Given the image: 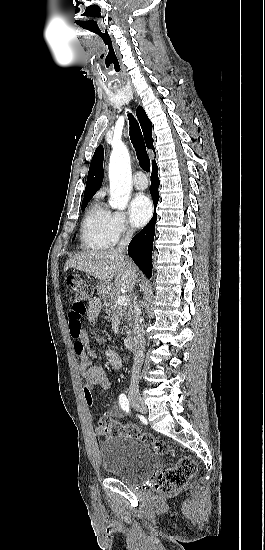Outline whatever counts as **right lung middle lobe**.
Listing matches in <instances>:
<instances>
[{
    "label": "right lung middle lobe",
    "instance_id": "obj_1",
    "mask_svg": "<svg viewBox=\"0 0 265 550\" xmlns=\"http://www.w3.org/2000/svg\"><path fill=\"white\" fill-rule=\"evenodd\" d=\"M90 199H91V198L83 199V202H82V211L85 209V207L87 206V204H88V202H89Z\"/></svg>",
    "mask_w": 265,
    "mask_h": 550
}]
</instances>
